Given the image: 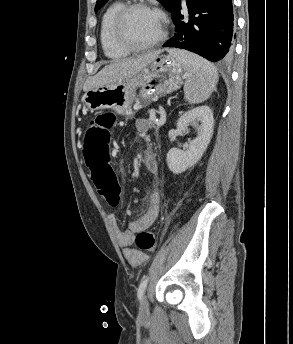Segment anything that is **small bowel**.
<instances>
[{"label":"small bowel","mask_w":293,"mask_h":344,"mask_svg":"<svg viewBox=\"0 0 293 344\" xmlns=\"http://www.w3.org/2000/svg\"><path fill=\"white\" fill-rule=\"evenodd\" d=\"M122 126L121 124H119ZM136 127L139 131H147L150 128V122L145 119L138 120ZM144 158L149 159V163L144 160V165L148 172L153 175L158 173V163L154 157L151 149L145 151ZM159 201L160 194L157 187H155L149 195V206L146 213L138 220L132 221L129 228L123 230L118 225V220L115 214L110 215V221L114 227L116 238L119 246L122 248L123 254L127 261L133 267H138L147 261L148 255L146 253L140 252L135 248H132L134 241V233L145 230L149 228L156 220L159 214Z\"/></svg>","instance_id":"c3829d8e"}]
</instances>
